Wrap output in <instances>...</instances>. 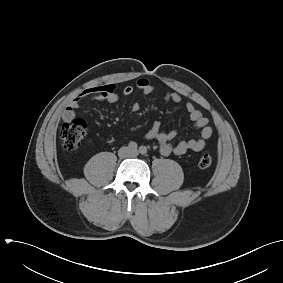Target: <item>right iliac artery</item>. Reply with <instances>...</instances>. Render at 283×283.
<instances>
[{"label": "right iliac artery", "instance_id": "82829eb1", "mask_svg": "<svg viewBox=\"0 0 283 283\" xmlns=\"http://www.w3.org/2000/svg\"><path fill=\"white\" fill-rule=\"evenodd\" d=\"M128 147L130 148V150H136L137 147H138V145H137V143H135V142H130V143L128 144Z\"/></svg>", "mask_w": 283, "mask_h": 283}]
</instances>
